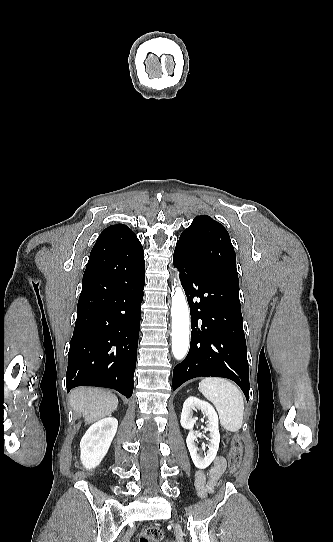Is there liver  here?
<instances>
[{"mask_svg":"<svg viewBox=\"0 0 333 542\" xmlns=\"http://www.w3.org/2000/svg\"><path fill=\"white\" fill-rule=\"evenodd\" d=\"M70 402L74 412H83L86 424L111 416L118 406L115 394L96 388H75L70 394Z\"/></svg>","mask_w":333,"mask_h":542,"instance_id":"obj_1","label":"liver"}]
</instances>
